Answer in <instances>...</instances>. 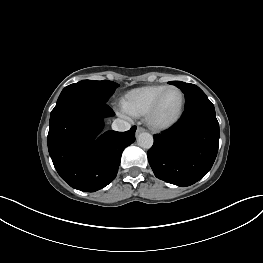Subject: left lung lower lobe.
I'll list each match as a JSON object with an SVG mask.
<instances>
[{"instance_id": "0a47b994", "label": "left lung lower lobe", "mask_w": 263, "mask_h": 263, "mask_svg": "<svg viewBox=\"0 0 263 263\" xmlns=\"http://www.w3.org/2000/svg\"><path fill=\"white\" fill-rule=\"evenodd\" d=\"M219 146V124L209 100L187 108L171 129L154 135L147 153L155 176L178 186L200 180L212 167Z\"/></svg>"}]
</instances>
